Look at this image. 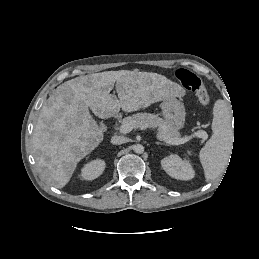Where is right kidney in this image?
Instances as JSON below:
<instances>
[{
  "label": "right kidney",
  "instance_id": "obj_1",
  "mask_svg": "<svg viewBox=\"0 0 259 259\" xmlns=\"http://www.w3.org/2000/svg\"><path fill=\"white\" fill-rule=\"evenodd\" d=\"M105 169V162L101 159L87 163L81 171V176L85 180H94L99 177Z\"/></svg>",
  "mask_w": 259,
  "mask_h": 259
}]
</instances>
